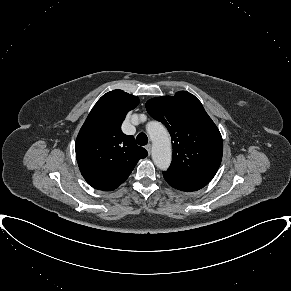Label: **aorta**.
Segmentation results:
<instances>
[{"mask_svg":"<svg viewBox=\"0 0 291 291\" xmlns=\"http://www.w3.org/2000/svg\"><path fill=\"white\" fill-rule=\"evenodd\" d=\"M146 130L152 140V159L161 170H167L172 159V148L167 129L157 121L147 124Z\"/></svg>","mask_w":291,"mask_h":291,"instance_id":"aorta-1","label":"aorta"}]
</instances>
